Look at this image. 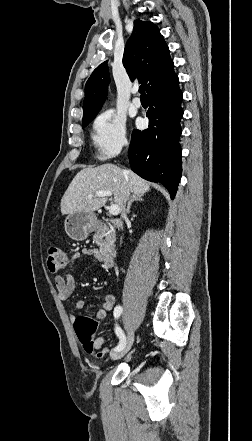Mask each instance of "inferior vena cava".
<instances>
[{
  "instance_id": "inferior-vena-cava-1",
  "label": "inferior vena cava",
  "mask_w": 252,
  "mask_h": 441,
  "mask_svg": "<svg viewBox=\"0 0 252 441\" xmlns=\"http://www.w3.org/2000/svg\"><path fill=\"white\" fill-rule=\"evenodd\" d=\"M128 198H129V193L127 192V193L125 194L124 205L122 206V214H121L122 218L125 219V220L127 219L126 211H125V203H126V201L128 200Z\"/></svg>"
}]
</instances>
